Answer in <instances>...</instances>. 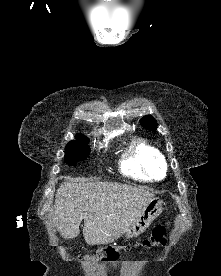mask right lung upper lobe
I'll return each mask as SVG.
<instances>
[{
    "mask_svg": "<svg viewBox=\"0 0 221 276\" xmlns=\"http://www.w3.org/2000/svg\"><path fill=\"white\" fill-rule=\"evenodd\" d=\"M75 139H77V140H72L69 143H72V142H89L88 138L81 135V134L80 135L78 134L77 136H75Z\"/></svg>",
    "mask_w": 221,
    "mask_h": 276,
    "instance_id": "cb5924a9",
    "label": "right lung upper lobe"
}]
</instances>
